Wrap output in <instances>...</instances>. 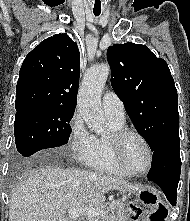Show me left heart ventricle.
<instances>
[{
	"instance_id": "left-heart-ventricle-1",
	"label": "left heart ventricle",
	"mask_w": 190,
	"mask_h": 221,
	"mask_svg": "<svg viewBox=\"0 0 190 221\" xmlns=\"http://www.w3.org/2000/svg\"><path fill=\"white\" fill-rule=\"evenodd\" d=\"M123 157L127 166L136 172L147 168L149 155L145 145L137 137L129 136L123 145Z\"/></svg>"
}]
</instances>
